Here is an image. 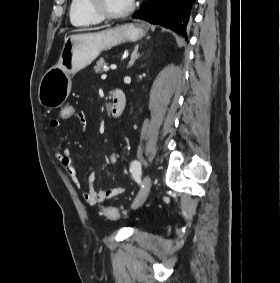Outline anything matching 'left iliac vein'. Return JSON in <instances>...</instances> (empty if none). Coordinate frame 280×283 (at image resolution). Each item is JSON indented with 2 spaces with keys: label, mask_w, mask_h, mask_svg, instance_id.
<instances>
[{
  "label": "left iliac vein",
  "mask_w": 280,
  "mask_h": 283,
  "mask_svg": "<svg viewBox=\"0 0 280 283\" xmlns=\"http://www.w3.org/2000/svg\"><path fill=\"white\" fill-rule=\"evenodd\" d=\"M151 185H152L151 177L149 175L145 176L143 180V187L141 188L140 192L138 193V195L136 196V198L132 203L133 209H137L143 204L147 195L150 192Z\"/></svg>",
  "instance_id": "obj_1"
}]
</instances>
